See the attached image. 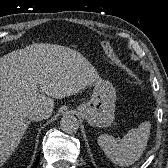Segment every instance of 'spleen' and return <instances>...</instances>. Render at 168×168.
I'll list each match as a JSON object with an SVG mask.
<instances>
[{
    "label": "spleen",
    "mask_w": 168,
    "mask_h": 168,
    "mask_svg": "<svg viewBox=\"0 0 168 168\" xmlns=\"http://www.w3.org/2000/svg\"><path fill=\"white\" fill-rule=\"evenodd\" d=\"M150 128V122H143L138 128L129 130L120 142L111 135L103 134L99 136L98 144L114 164L130 166L142 156L147 146Z\"/></svg>",
    "instance_id": "1"
}]
</instances>
